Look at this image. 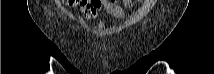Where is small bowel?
<instances>
[{
    "instance_id": "obj_1",
    "label": "small bowel",
    "mask_w": 214,
    "mask_h": 74,
    "mask_svg": "<svg viewBox=\"0 0 214 74\" xmlns=\"http://www.w3.org/2000/svg\"><path fill=\"white\" fill-rule=\"evenodd\" d=\"M132 1L128 0L125 4L132 8ZM71 5L74 7H79L81 14L88 20V21H95L102 10L106 12L122 17L124 15L123 8L114 3L109 1H101V0H87V1H74L71 2Z\"/></svg>"
}]
</instances>
